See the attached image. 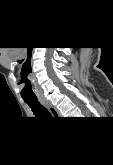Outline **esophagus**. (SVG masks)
I'll return each mask as SVG.
<instances>
[{
  "label": "esophagus",
  "mask_w": 113,
  "mask_h": 165,
  "mask_svg": "<svg viewBox=\"0 0 113 165\" xmlns=\"http://www.w3.org/2000/svg\"><path fill=\"white\" fill-rule=\"evenodd\" d=\"M39 101L45 108H47V110L50 112L52 117L54 118L60 117V112L49 100L40 99Z\"/></svg>",
  "instance_id": "esophagus-1"
}]
</instances>
